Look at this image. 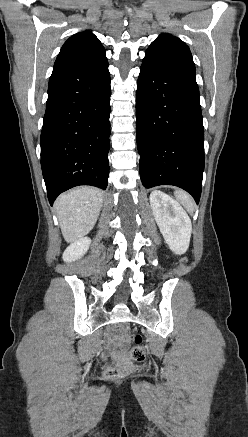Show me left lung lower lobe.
Segmentation results:
<instances>
[{"instance_id": "obj_1", "label": "left lung lower lobe", "mask_w": 248, "mask_h": 437, "mask_svg": "<svg viewBox=\"0 0 248 437\" xmlns=\"http://www.w3.org/2000/svg\"><path fill=\"white\" fill-rule=\"evenodd\" d=\"M136 120L143 186L175 185L198 204L205 157L195 78L141 65Z\"/></svg>"}]
</instances>
